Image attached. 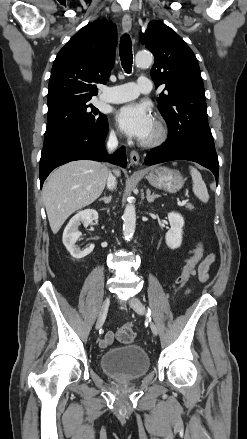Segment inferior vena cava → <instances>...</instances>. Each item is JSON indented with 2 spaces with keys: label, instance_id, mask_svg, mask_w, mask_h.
<instances>
[{
  "label": "inferior vena cava",
  "instance_id": "602c4592",
  "mask_svg": "<svg viewBox=\"0 0 247 439\" xmlns=\"http://www.w3.org/2000/svg\"><path fill=\"white\" fill-rule=\"evenodd\" d=\"M118 146L117 137L114 132L110 133L109 139L107 141V150L109 153H112L116 150ZM116 178L114 175H112L111 172H109L107 177V188L110 190H113L116 187Z\"/></svg>",
  "mask_w": 247,
  "mask_h": 439
}]
</instances>
